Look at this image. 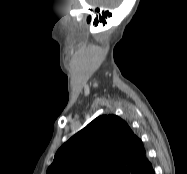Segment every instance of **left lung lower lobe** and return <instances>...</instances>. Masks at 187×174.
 Here are the masks:
<instances>
[{"mask_svg":"<svg viewBox=\"0 0 187 174\" xmlns=\"http://www.w3.org/2000/svg\"><path fill=\"white\" fill-rule=\"evenodd\" d=\"M132 174H155L151 164L148 167H145L144 169H142V171L140 173L136 172V169L132 172Z\"/></svg>","mask_w":187,"mask_h":174,"instance_id":"left-lung-lower-lobe-1","label":"left lung lower lobe"}]
</instances>
